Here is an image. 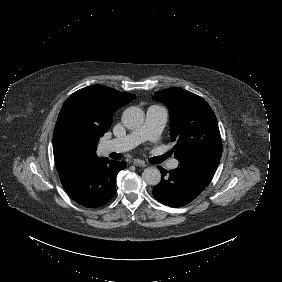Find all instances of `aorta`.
I'll return each instance as SVG.
<instances>
[{
    "label": "aorta",
    "instance_id": "obj_1",
    "mask_svg": "<svg viewBox=\"0 0 282 282\" xmlns=\"http://www.w3.org/2000/svg\"><path fill=\"white\" fill-rule=\"evenodd\" d=\"M123 124L129 129L139 128L145 121V112L142 108L131 106L122 115ZM142 178L147 185L155 186L161 181V172L156 167L146 168Z\"/></svg>",
    "mask_w": 282,
    "mask_h": 282
}]
</instances>
